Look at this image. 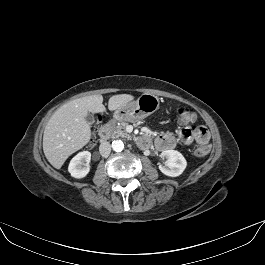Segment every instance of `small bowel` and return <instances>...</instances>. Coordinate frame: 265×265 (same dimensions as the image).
<instances>
[{"mask_svg":"<svg viewBox=\"0 0 265 265\" xmlns=\"http://www.w3.org/2000/svg\"><path fill=\"white\" fill-rule=\"evenodd\" d=\"M180 141L189 145L195 142L199 146H205L208 143L209 135L203 126H198L191 130L189 128H183L179 133ZM176 144V137L172 132H164L159 135L155 141L157 149L161 151L172 149Z\"/></svg>","mask_w":265,"mask_h":265,"instance_id":"c3829d8e","label":"small bowel"}]
</instances>
